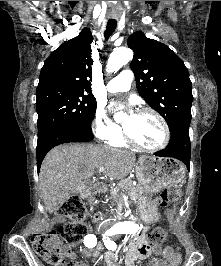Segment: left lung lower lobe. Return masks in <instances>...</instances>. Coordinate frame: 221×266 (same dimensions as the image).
<instances>
[{
	"mask_svg": "<svg viewBox=\"0 0 221 266\" xmlns=\"http://www.w3.org/2000/svg\"><path fill=\"white\" fill-rule=\"evenodd\" d=\"M155 155L180 160L189 168L191 158L189 130H177L171 133L167 147Z\"/></svg>",
	"mask_w": 221,
	"mask_h": 266,
	"instance_id": "0a47b994",
	"label": "left lung lower lobe"
}]
</instances>
